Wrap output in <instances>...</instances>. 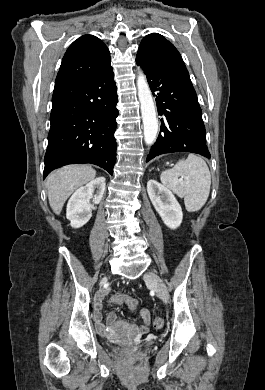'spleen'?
I'll use <instances>...</instances> for the list:
<instances>
[{
  "label": "spleen",
  "instance_id": "1",
  "mask_svg": "<svg viewBox=\"0 0 265 390\" xmlns=\"http://www.w3.org/2000/svg\"><path fill=\"white\" fill-rule=\"evenodd\" d=\"M160 180L184 198L188 212L200 210L208 199L211 175L206 162L197 155L189 154L186 159L179 160L174 168L161 173Z\"/></svg>",
  "mask_w": 265,
  "mask_h": 390
}]
</instances>
